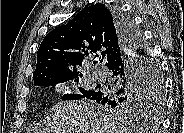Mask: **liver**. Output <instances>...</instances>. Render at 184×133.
<instances>
[{
  "mask_svg": "<svg viewBox=\"0 0 184 133\" xmlns=\"http://www.w3.org/2000/svg\"><path fill=\"white\" fill-rule=\"evenodd\" d=\"M53 120L44 129L45 133H131L107 113L95 109L94 104L59 102L52 109Z\"/></svg>",
  "mask_w": 184,
  "mask_h": 133,
  "instance_id": "obj_1",
  "label": "liver"
}]
</instances>
